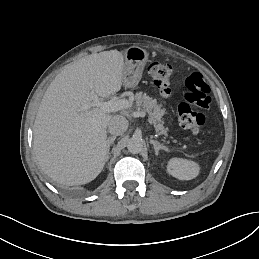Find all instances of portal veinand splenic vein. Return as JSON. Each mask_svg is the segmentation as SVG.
Masks as SVG:
<instances>
[{
    "mask_svg": "<svg viewBox=\"0 0 259 259\" xmlns=\"http://www.w3.org/2000/svg\"><path fill=\"white\" fill-rule=\"evenodd\" d=\"M91 95H92L93 101L81 105L77 110L78 112L87 111L91 107H98V108H101L102 110H105L106 112L110 113V112H117L122 109H128V108L132 107V102L128 101L126 99H119V100L112 99V100L103 102L94 93V91H91ZM138 117H141V115H138Z\"/></svg>",
    "mask_w": 259,
    "mask_h": 259,
    "instance_id": "portal-vein-and-splenic-vein-1",
    "label": "portal vein and splenic vein"
}]
</instances>
